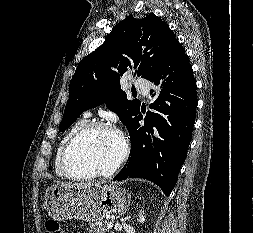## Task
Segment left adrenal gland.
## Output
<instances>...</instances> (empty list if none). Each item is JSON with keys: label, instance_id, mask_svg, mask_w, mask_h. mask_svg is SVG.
Instances as JSON below:
<instances>
[{"label": "left adrenal gland", "instance_id": "1", "mask_svg": "<svg viewBox=\"0 0 253 233\" xmlns=\"http://www.w3.org/2000/svg\"><path fill=\"white\" fill-rule=\"evenodd\" d=\"M130 198H131V194H128V203L130 202ZM125 212H126V209H125V211H123V212L120 214V216L123 215V214H125Z\"/></svg>", "mask_w": 253, "mask_h": 233}]
</instances>
